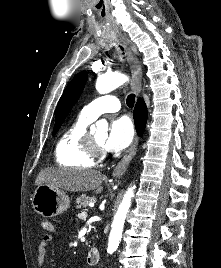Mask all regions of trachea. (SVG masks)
Segmentation results:
<instances>
[{
  "instance_id": "3493384b",
  "label": "trachea",
  "mask_w": 221,
  "mask_h": 268,
  "mask_svg": "<svg viewBox=\"0 0 221 268\" xmlns=\"http://www.w3.org/2000/svg\"><path fill=\"white\" fill-rule=\"evenodd\" d=\"M126 103H127L128 107L132 108L134 106V103H135V95L134 94L128 95V97L126 99Z\"/></svg>"
}]
</instances>
